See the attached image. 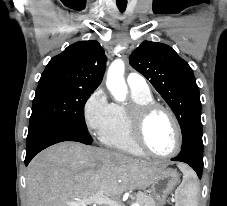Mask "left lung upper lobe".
Segmentation results:
<instances>
[{"instance_id": "1", "label": "left lung upper lobe", "mask_w": 227, "mask_h": 206, "mask_svg": "<svg viewBox=\"0 0 227 206\" xmlns=\"http://www.w3.org/2000/svg\"><path fill=\"white\" fill-rule=\"evenodd\" d=\"M129 61L173 110L182 131V147L192 144L203 152L199 88L188 63L170 46L149 41L141 43Z\"/></svg>"}]
</instances>
